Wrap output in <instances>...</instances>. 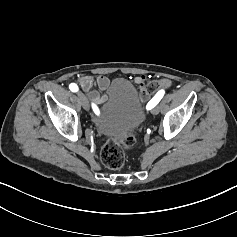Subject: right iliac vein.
<instances>
[{
  "label": "right iliac vein",
  "instance_id": "obj_1",
  "mask_svg": "<svg viewBox=\"0 0 237 237\" xmlns=\"http://www.w3.org/2000/svg\"><path fill=\"white\" fill-rule=\"evenodd\" d=\"M78 97L81 101L82 107L85 110H89V103H88V100H87L86 96L83 93L79 92Z\"/></svg>",
  "mask_w": 237,
  "mask_h": 237
}]
</instances>
